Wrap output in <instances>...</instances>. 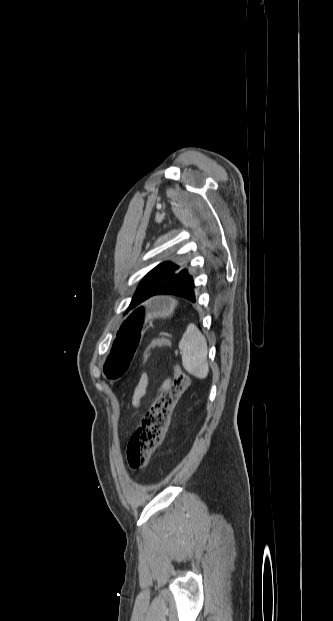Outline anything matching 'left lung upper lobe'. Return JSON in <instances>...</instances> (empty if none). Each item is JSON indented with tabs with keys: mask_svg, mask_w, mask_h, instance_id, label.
Instances as JSON below:
<instances>
[{
	"mask_svg": "<svg viewBox=\"0 0 333 621\" xmlns=\"http://www.w3.org/2000/svg\"><path fill=\"white\" fill-rule=\"evenodd\" d=\"M187 270L172 263L163 262L152 269L139 284L136 293L127 309V312L148 298L154 296L155 292L166 283L170 282L180 274L186 273Z\"/></svg>",
	"mask_w": 333,
	"mask_h": 621,
	"instance_id": "5c2ea615",
	"label": "left lung upper lobe"
}]
</instances>
